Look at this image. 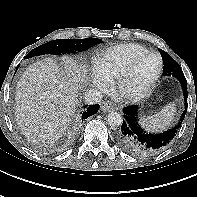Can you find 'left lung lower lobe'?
<instances>
[{"mask_svg":"<svg viewBox=\"0 0 197 197\" xmlns=\"http://www.w3.org/2000/svg\"><path fill=\"white\" fill-rule=\"evenodd\" d=\"M185 101V110L178 124L161 133H150L143 129L138 119V106L131 105L123 108L124 119L116 135L118 145L125 151L139 156L150 157L164 150L175 137L187 112V81H180Z\"/></svg>","mask_w":197,"mask_h":197,"instance_id":"obj_1","label":"left lung lower lobe"}]
</instances>
